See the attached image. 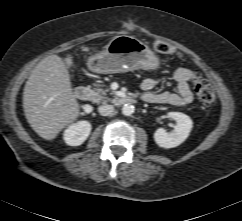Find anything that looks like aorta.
<instances>
[{
  "instance_id": "762f6f07",
  "label": "aorta",
  "mask_w": 242,
  "mask_h": 221,
  "mask_svg": "<svg viewBox=\"0 0 242 221\" xmlns=\"http://www.w3.org/2000/svg\"><path fill=\"white\" fill-rule=\"evenodd\" d=\"M135 107L131 104H125L122 107V114L125 116H130L134 113Z\"/></svg>"
}]
</instances>
